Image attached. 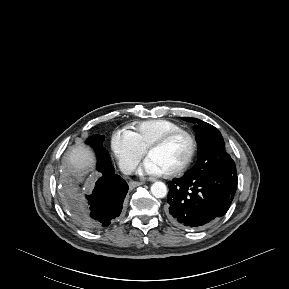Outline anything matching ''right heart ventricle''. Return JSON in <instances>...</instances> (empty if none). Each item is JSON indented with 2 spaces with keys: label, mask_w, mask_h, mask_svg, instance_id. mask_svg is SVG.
<instances>
[{
  "label": "right heart ventricle",
  "mask_w": 289,
  "mask_h": 289,
  "mask_svg": "<svg viewBox=\"0 0 289 289\" xmlns=\"http://www.w3.org/2000/svg\"><path fill=\"white\" fill-rule=\"evenodd\" d=\"M182 129L178 123L168 119H150L137 123L133 127V133L141 146L146 151L147 148L165 134Z\"/></svg>",
  "instance_id": "obj_1"
}]
</instances>
